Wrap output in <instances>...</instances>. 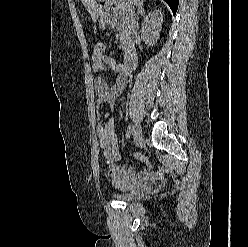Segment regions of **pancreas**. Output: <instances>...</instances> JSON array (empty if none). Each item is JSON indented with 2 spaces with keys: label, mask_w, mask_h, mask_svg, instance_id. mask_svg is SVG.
<instances>
[{
  "label": "pancreas",
  "mask_w": 248,
  "mask_h": 247,
  "mask_svg": "<svg viewBox=\"0 0 248 247\" xmlns=\"http://www.w3.org/2000/svg\"><path fill=\"white\" fill-rule=\"evenodd\" d=\"M119 39H120V42H121L120 47H121V49L123 51H125L126 50V45H127L125 35L123 33H121L120 36H119Z\"/></svg>",
  "instance_id": "cf45deb5"
}]
</instances>
